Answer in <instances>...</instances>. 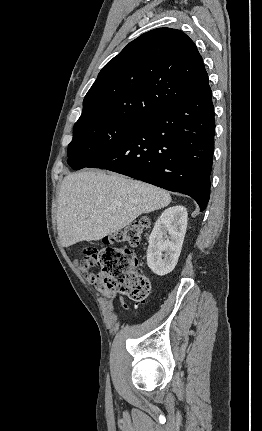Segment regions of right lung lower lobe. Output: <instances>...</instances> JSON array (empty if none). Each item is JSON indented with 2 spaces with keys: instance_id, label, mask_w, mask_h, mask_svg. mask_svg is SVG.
Segmentation results:
<instances>
[{
  "instance_id": "1",
  "label": "right lung lower lobe",
  "mask_w": 262,
  "mask_h": 431,
  "mask_svg": "<svg viewBox=\"0 0 262 431\" xmlns=\"http://www.w3.org/2000/svg\"><path fill=\"white\" fill-rule=\"evenodd\" d=\"M214 132L208 86L198 95L142 119L123 141L87 167L184 193L203 211L210 197Z\"/></svg>"
}]
</instances>
